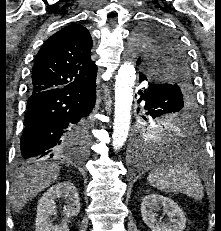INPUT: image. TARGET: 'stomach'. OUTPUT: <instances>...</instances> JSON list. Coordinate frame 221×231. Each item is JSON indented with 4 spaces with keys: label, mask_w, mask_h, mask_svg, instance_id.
Here are the masks:
<instances>
[{
    "label": "stomach",
    "mask_w": 221,
    "mask_h": 231,
    "mask_svg": "<svg viewBox=\"0 0 221 231\" xmlns=\"http://www.w3.org/2000/svg\"><path fill=\"white\" fill-rule=\"evenodd\" d=\"M175 128V125L174 124H171L170 126H168L167 129H165L164 132H167V131H170V130H173Z\"/></svg>",
    "instance_id": "0dacf381"
}]
</instances>
